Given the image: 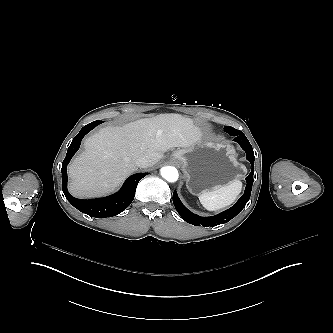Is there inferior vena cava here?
<instances>
[{
  "instance_id": "602c4592",
  "label": "inferior vena cava",
  "mask_w": 333,
  "mask_h": 333,
  "mask_svg": "<svg viewBox=\"0 0 333 333\" xmlns=\"http://www.w3.org/2000/svg\"><path fill=\"white\" fill-rule=\"evenodd\" d=\"M136 165L141 168H146L150 166V161L146 156H141L138 159H136Z\"/></svg>"
}]
</instances>
